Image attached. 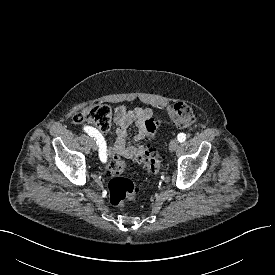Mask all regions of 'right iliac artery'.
I'll return each instance as SVG.
<instances>
[{"label":"right iliac artery","mask_w":275,"mask_h":275,"mask_svg":"<svg viewBox=\"0 0 275 275\" xmlns=\"http://www.w3.org/2000/svg\"><path fill=\"white\" fill-rule=\"evenodd\" d=\"M84 131L88 133L90 136L95 137L97 139V145H99V158L102 162H106V142L103 136L99 133V131L90 126L84 127Z\"/></svg>","instance_id":"1"}]
</instances>
